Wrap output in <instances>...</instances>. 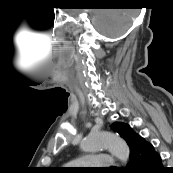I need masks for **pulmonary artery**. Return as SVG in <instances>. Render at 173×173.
<instances>
[{
  "label": "pulmonary artery",
  "instance_id": "pulmonary-artery-1",
  "mask_svg": "<svg viewBox=\"0 0 173 173\" xmlns=\"http://www.w3.org/2000/svg\"><path fill=\"white\" fill-rule=\"evenodd\" d=\"M72 166H85L87 168H104L114 164L113 158L110 155H91L81 157L70 163Z\"/></svg>",
  "mask_w": 173,
  "mask_h": 173
}]
</instances>
